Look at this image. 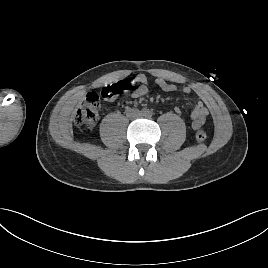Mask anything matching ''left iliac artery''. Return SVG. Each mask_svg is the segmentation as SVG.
<instances>
[{
	"label": "left iliac artery",
	"mask_w": 268,
	"mask_h": 268,
	"mask_svg": "<svg viewBox=\"0 0 268 268\" xmlns=\"http://www.w3.org/2000/svg\"><path fill=\"white\" fill-rule=\"evenodd\" d=\"M153 113L151 111H148L147 116L152 117Z\"/></svg>",
	"instance_id": "44dca946"
}]
</instances>
